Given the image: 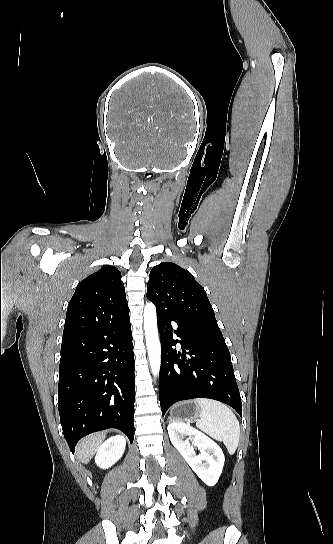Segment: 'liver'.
<instances>
[{
    "instance_id": "liver-1",
    "label": "liver",
    "mask_w": 333,
    "mask_h": 544,
    "mask_svg": "<svg viewBox=\"0 0 333 544\" xmlns=\"http://www.w3.org/2000/svg\"><path fill=\"white\" fill-rule=\"evenodd\" d=\"M105 438V433L92 434L81 440L76 448V458L87 464Z\"/></svg>"
}]
</instances>
